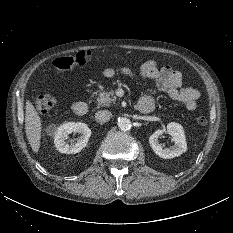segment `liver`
Returning a JSON list of instances; mask_svg holds the SVG:
<instances>
[{
	"mask_svg": "<svg viewBox=\"0 0 233 233\" xmlns=\"http://www.w3.org/2000/svg\"><path fill=\"white\" fill-rule=\"evenodd\" d=\"M41 119L33 104L28 100L25 106V132L32 150L37 153L40 148Z\"/></svg>",
	"mask_w": 233,
	"mask_h": 233,
	"instance_id": "1",
	"label": "liver"
}]
</instances>
